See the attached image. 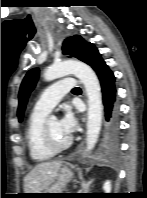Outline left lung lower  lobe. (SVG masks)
I'll use <instances>...</instances> for the list:
<instances>
[{"label": "left lung lower lobe", "instance_id": "0a47b994", "mask_svg": "<svg viewBox=\"0 0 147 198\" xmlns=\"http://www.w3.org/2000/svg\"><path fill=\"white\" fill-rule=\"evenodd\" d=\"M84 62L94 69L100 80L107 121L105 151L107 157L114 158L119 152V108L116 102L115 77L93 44L87 50Z\"/></svg>", "mask_w": 147, "mask_h": 198}]
</instances>
